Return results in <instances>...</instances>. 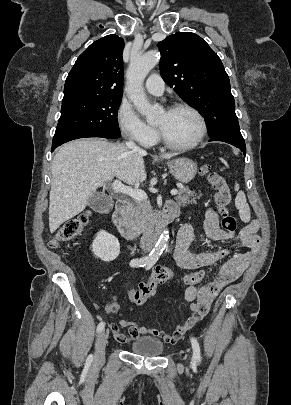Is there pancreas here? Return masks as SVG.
<instances>
[{
    "instance_id": "pancreas-1",
    "label": "pancreas",
    "mask_w": 291,
    "mask_h": 405,
    "mask_svg": "<svg viewBox=\"0 0 291 405\" xmlns=\"http://www.w3.org/2000/svg\"><path fill=\"white\" fill-rule=\"evenodd\" d=\"M200 196L201 195H197L190 191L189 188H184L179 191L175 200L179 206L185 207L187 204L195 203L196 199H199ZM154 215L153 209L148 201H134L129 220L133 229L136 232L141 233L151 224Z\"/></svg>"
}]
</instances>
